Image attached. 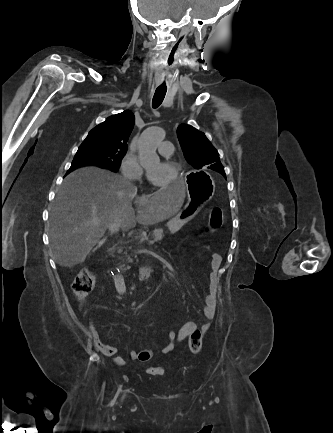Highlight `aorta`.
<instances>
[{
    "instance_id": "1",
    "label": "aorta",
    "mask_w": 333,
    "mask_h": 433,
    "mask_svg": "<svg viewBox=\"0 0 333 433\" xmlns=\"http://www.w3.org/2000/svg\"><path fill=\"white\" fill-rule=\"evenodd\" d=\"M165 136L166 133L161 127H149L144 130L139 144V162L142 166L150 167L160 163L156 149Z\"/></svg>"
}]
</instances>
